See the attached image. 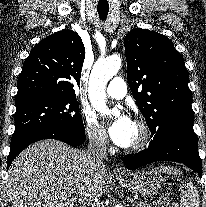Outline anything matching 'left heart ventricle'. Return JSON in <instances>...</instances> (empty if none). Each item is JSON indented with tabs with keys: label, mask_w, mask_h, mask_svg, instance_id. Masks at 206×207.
<instances>
[{
	"label": "left heart ventricle",
	"mask_w": 206,
	"mask_h": 207,
	"mask_svg": "<svg viewBox=\"0 0 206 207\" xmlns=\"http://www.w3.org/2000/svg\"><path fill=\"white\" fill-rule=\"evenodd\" d=\"M139 138H140V130H139L138 126L134 123L133 134H132V141H131L129 146H131L134 143H136Z\"/></svg>",
	"instance_id": "left-heart-ventricle-1"
}]
</instances>
